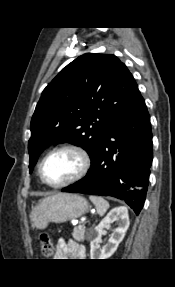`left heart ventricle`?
Wrapping results in <instances>:
<instances>
[{"instance_id":"left-heart-ventricle-1","label":"left heart ventricle","mask_w":175,"mask_h":287,"mask_svg":"<svg viewBox=\"0 0 175 287\" xmlns=\"http://www.w3.org/2000/svg\"><path fill=\"white\" fill-rule=\"evenodd\" d=\"M81 160L72 151H59L51 155L44 164V178L52 184L62 183L73 177L80 169Z\"/></svg>"}]
</instances>
